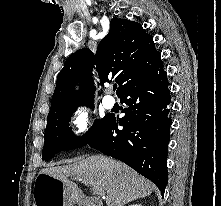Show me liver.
Listing matches in <instances>:
<instances>
[{"instance_id": "obj_1", "label": "liver", "mask_w": 221, "mask_h": 206, "mask_svg": "<svg viewBox=\"0 0 221 206\" xmlns=\"http://www.w3.org/2000/svg\"><path fill=\"white\" fill-rule=\"evenodd\" d=\"M40 174L50 175L73 187L76 185L68 177L86 186L102 189L107 194V206H124L149 196L154 190L149 180L129 166L103 155H92L70 165L47 167Z\"/></svg>"}]
</instances>
